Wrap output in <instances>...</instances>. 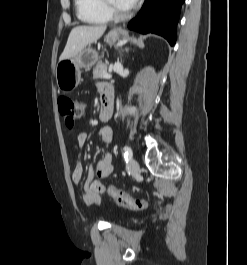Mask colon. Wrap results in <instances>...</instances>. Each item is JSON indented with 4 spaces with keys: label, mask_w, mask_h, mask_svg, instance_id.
<instances>
[{
    "label": "colon",
    "mask_w": 247,
    "mask_h": 265,
    "mask_svg": "<svg viewBox=\"0 0 247 265\" xmlns=\"http://www.w3.org/2000/svg\"><path fill=\"white\" fill-rule=\"evenodd\" d=\"M83 104L69 97L61 96L58 98V110L68 127H73L76 121L82 116ZM107 193L115 200V202L125 208L133 211L144 210L148 206V202L143 199H136L125 192L114 188L107 187Z\"/></svg>",
    "instance_id": "1"
}]
</instances>
